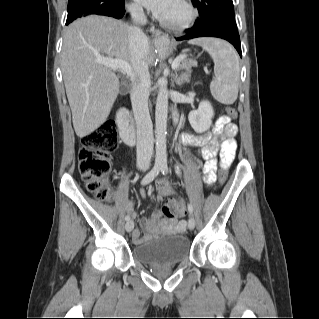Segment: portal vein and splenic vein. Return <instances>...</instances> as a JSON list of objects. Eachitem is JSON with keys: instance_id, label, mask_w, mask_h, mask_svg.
<instances>
[{"instance_id": "portal-vein-and-splenic-vein-1", "label": "portal vein and splenic vein", "mask_w": 319, "mask_h": 319, "mask_svg": "<svg viewBox=\"0 0 319 319\" xmlns=\"http://www.w3.org/2000/svg\"><path fill=\"white\" fill-rule=\"evenodd\" d=\"M187 55H180L178 58H176L173 63H172V69H176L181 60L186 58ZM96 62L99 63V64H102L106 67H109L111 69H121L123 70L124 72H126L130 77H133V73H132V69H131V65L124 61V60H121V59H112V58H107V57H98L96 59Z\"/></svg>"}]
</instances>
